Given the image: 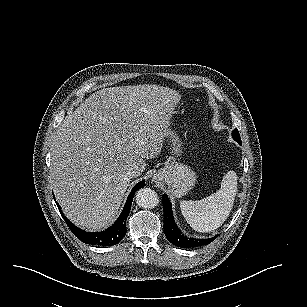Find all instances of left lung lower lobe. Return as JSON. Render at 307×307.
Here are the masks:
<instances>
[{
  "label": "left lung lower lobe",
  "mask_w": 307,
  "mask_h": 307,
  "mask_svg": "<svg viewBox=\"0 0 307 307\" xmlns=\"http://www.w3.org/2000/svg\"><path fill=\"white\" fill-rule=\"evenodd\" d=\"M163 211H164V233L167 239L174 244L175 246L182 248H193L199 247L202 245H207L214 241L219 235H216L210 239H191L187 238L182 234V232L178 229L173 216H172V208L169 199L166 195H163Z\"/></svg>",
  "instance_id": "0a47b994"
}]
</instances>
